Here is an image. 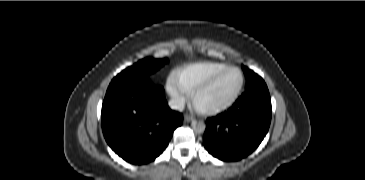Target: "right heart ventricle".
Wrapping results in <instances>:
<instances>
[{"label": "right heart ventricle", "mask_w": 365, "mask_h": 180, "mask_svg": "<svg viewBox=\"0 0 365 180\" xmlns=\"http://www.w3.org/2000/svg\"><path fill=\"white\" fill-rule=\"evenodd\" d=\"M227 66L229 65L222 62H200L178 69L176 76L186 93L191 94L209 77Z\"/></svg>", "instance_id": "right-heart-ventricle-1"}]
</instances>
